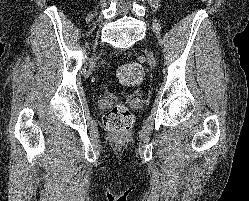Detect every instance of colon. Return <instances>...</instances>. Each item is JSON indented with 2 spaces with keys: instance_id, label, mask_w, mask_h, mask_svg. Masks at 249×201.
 Masks as SVG:
<instances>
[{
  "instance_id": "obj_1",
  "label": "colon",
  "mask_w": 249,
  "mask_h": 201,
  "mask_svg": "<svg viewBox=\"0 0 249 201\" xmlns=\"http://www.w3.org/2000/svg\"><path fill=\"white\" fill-rule=\"evenodd\" d=\"M143 78L144 70L137 63L122 65L117 71L118 81L127 87L138 85ZM133 120L134 118L129 108L123 104H117L104 116V125L115 137H121L131 129Z\"/></svg>"
}]
</instances>
